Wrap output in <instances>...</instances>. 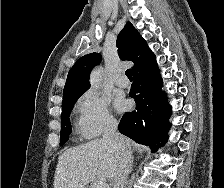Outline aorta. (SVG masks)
<instances>
[{
  "instance_id": "1",
  "label": "aorta",
  "mask_w": 224,
  "mask_h": 188,
  "mask_svg": "<svg viewBox=\"0 0 224 188\" xmlns=\"http://www.w3.org/2000/svg\"><path fill=\"white\" fill-rule=\"evenodd\" d=\"M102 81V71L101 69H95L90 76V82L92 88L98 89Z\"/></svg>"
}]
</instances>
